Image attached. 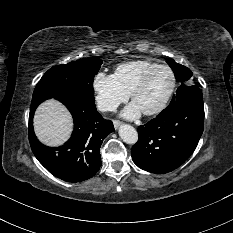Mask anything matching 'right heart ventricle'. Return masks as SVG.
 <instances>
[{"mask_svg": "<svg viewBox=\"0 0 233 233\" xmlns=\"http://www.w3.org/2000/svg\"><path fill=\"white\" fill-rule=\"evenodd\" d=\"M157 65V63L148 60L129 61L119 64L115 68L113 76L119 85L130 94L143 75Z\"/></svg>", "mask_w": 233, "mask_h": 233, "instance_id": "obj_1", "label": "right heart ventricle"}]
</instances>
